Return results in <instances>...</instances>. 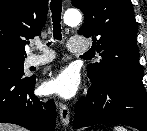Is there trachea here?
Segmentation results:
<instances>
[{"label":"trachea","instance_id":"3493384b","mask_svg":"<svg viewBox=\"0 0 147 131\" xmlns=\"http://www.w3.org/2000/svg\"><path fill=\"white\" fill-rule=\"evenodd\" d=\"M50 9L52 12L53 21V37L56 40H61V12H62V0H52L50 3ZM49 45V44H47ZM87 56V54H84Z\"/></svg>","mask_w":147,"mask_h":131}]
</instances>
